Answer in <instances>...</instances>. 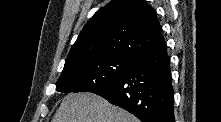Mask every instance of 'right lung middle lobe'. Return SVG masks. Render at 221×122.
Segmentation results:
<instances>
[{"label": "right lung middle lobe", "mask_w": 221, "mask_h": 122, "mask_svg": "<svg viewBox=\"0 0 221 122\" xmlns=\"http://www.w3.org/2000/svg\"><path fill=\"white\" fill-rule=\"evenodd\" d=\"M133 58L110 55L90 59L63 70L56 90L63 93L91 92L117 80Z\"/></svg>", "instance_id": "right-lung-middle-lobe-1"}]
</instances>
